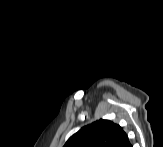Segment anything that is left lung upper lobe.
Segmentation results:
<instances>
[{
    "label": "left lung upper lobe",
    "mask_w": 163,
    "mask_h": 147,
    "mask_svg": "<svg viewBox=\"0 0 163 147\" xmlns=\"http://www.w3.org/2000/svg\"><path fill=\"white\" fill-rule=\"evenodd\" d=\"M123 134L119 125L100 119L82 127L68 139L64 147H116Z\"/></svg>",
    "instance_id": "obj_1"
}]
</instances>
